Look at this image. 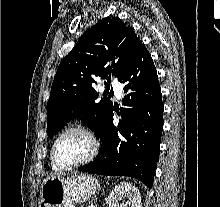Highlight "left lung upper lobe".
I'll return each instance as SVG.
<instances>
[{"mask_svg":"<svg viewBox=\"0 0 220 207\" xmlns=\"http://www.w3.org/2000/svg\"><path fill=\"white\" fill-rule=\"evenodd\" d=\"M142 41L118 17H107L88 29L61 61L47 103V134L52 137L71 119L97 134L112 108L108 97L96 100V77H119ZM105 83L106 87H109ZM107 95V93H104ZM112 94H109L111 97Z\"/></svg>","mask_w":220,"mask_h":207,"instance_id":"left-lung-upper-lobe-1","label":"left lung upper lobe"}]
</instances>
